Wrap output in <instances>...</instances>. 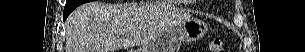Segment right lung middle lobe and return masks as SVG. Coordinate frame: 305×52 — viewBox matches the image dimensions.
Segmentation results:
<instances>
[{"instance_id": "1", "label": "right lung middle lobe", "mask_w": 305, "mask_h": 52, "mask_svg": "<svg viewBox=\"0 0 305 52\" xmlns=\"http://www.w3.org/2000/svg\"><path fill=\"white\" fill-rule=\"evenodd\" d=\"M90 1H93V0H67L65 6L75 9L79 5L90 2Z\"/></svg>"}]
</instances>
